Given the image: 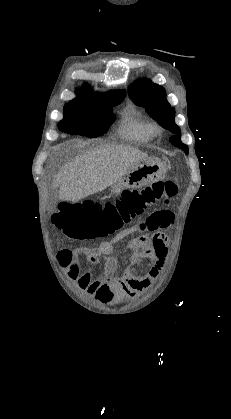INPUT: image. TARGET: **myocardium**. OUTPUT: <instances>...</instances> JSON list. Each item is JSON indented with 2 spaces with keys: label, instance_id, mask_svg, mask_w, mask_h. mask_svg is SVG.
Wrapping results in <instances>:
<instances>
[{
  "label": "myocardium",
  "instance_id": "obj_1",
  "mask_svg": "<svg viewBox=\"0 0 231 419\" xmlns=\"http://www.w3.org/2000/svg\"><path fill=\"white\" fill-rule=\"evenodd\" d=\"M158 129H159V127L157 125L152 126V130L157 131Z\"/></svg>",
  "mask_w": 231,
  "mask_h": 419
}]
</instances>
